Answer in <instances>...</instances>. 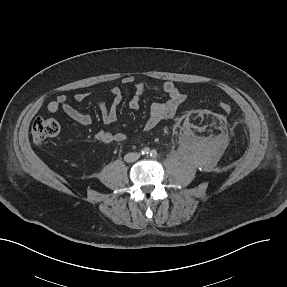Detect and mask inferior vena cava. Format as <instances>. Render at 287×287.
I'll return each instance as SVG.
<instances>
[{
  "label": "inferior vena cava",
  "mask_w": 287,
  "mask_h": 287,
  "mask_svg": "<svg viewBox=\"0 0 287 287\" xmlns=\"http://www.w3.org/2000/svg\"><path fill=\"white\" fill-rule=\"evenodd\" d=\"M139 157H140L139 153L131 152V153H128L124 156V160L126 162H134V161L138 160Z\"/></svg>",
  "instance_id": "obj_1"
}]
</instances>
